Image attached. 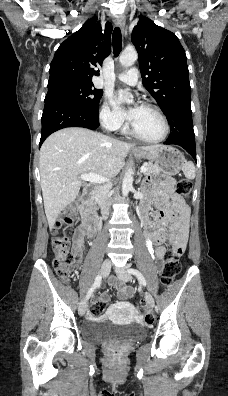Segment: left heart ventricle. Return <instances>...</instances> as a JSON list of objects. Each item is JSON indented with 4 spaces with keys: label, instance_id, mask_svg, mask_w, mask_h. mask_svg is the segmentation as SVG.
Wrapping results in <instances>:
<instances>
[{
    "label": "left heart ventricle",
    "instance_id": "obj_1",
    "mask_svg": "<svg viewBox=\"0 0 228 396\" xmlns=\"http://www.w3.org/2000/svg\"><path fill=\"white\" fill-rule=\"evenodd\" d=\"M132 125L140 135L148 139H156L163 133V124L159 116L144 107L137 109Z\"/></svg>",
    "mask_w": 228,
    "mask_h": 396
}]
</instances>
